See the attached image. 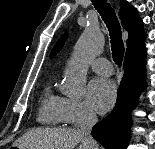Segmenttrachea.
I'll use <instances>...</instances> for the list:
<instances>
[{
  "label": "trachea",
  "mask_w": 155,
  "mask_h": 149,
  "mask_svg": "<svg viewBox=\"0 0 155 149\" xmlns=\"http://www.w3.org/2000/svg\"><path fill=\"white\" fill-rule=\"evenodd\" d=\"M92 4L108 27L113 60L118 66H121L124 56V45L121 39V26L115 11L107 0H92Z\"/></svg>",
  "instance_id": "3493384b"
}]
</instances>
